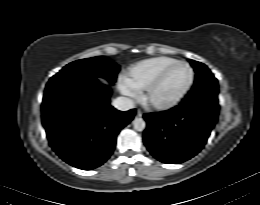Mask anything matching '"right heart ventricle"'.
Segmentation results:
<instances>
[{"instance_id":"e07e8e85","label":"right heart ventricle","mask_w":260,"mask_h":205,"mask_svg":"<svg viewBox=\"0 0 260 205\" xmlns=\"http://www.w3.org/2000/svg\"><path fill=\"white\" fill-rule=\"evenodd\" d=\"M175 61H177L176 58L169 56H158L140 61L130 68L123 80L134 90H143L163 68Z\"/></svg>"}]
</instances>
